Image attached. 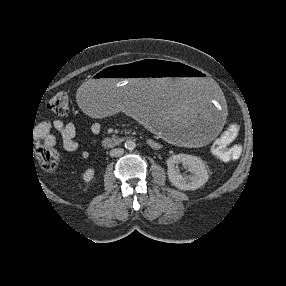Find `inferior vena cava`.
Returning <instances> with one entry per match:
<instances>
[{
  "instance_id": "602c4592",
  "label": "inferior vena cava",
  "mask_w": 286,
  "mask_h": 286,
  "mask_svg": "<svg viewBox=\"0 0 286 286\" xmlns=\"http://www.w3.org/2000/svg\"><path fill=\"white\" fill-rule=\"evenodd\" d=\"M123 153H124V149H123V148H115V149H112V150L110 151V156H111V157H119V156H121Z\"/></svg>"
}]
</instances>
